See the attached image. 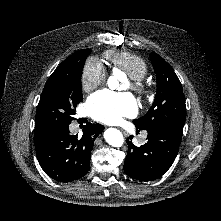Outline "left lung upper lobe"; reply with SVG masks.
Masks as SVG:
<instances>
[{
	"mask_svg": "<svg viewBox=\"0 0 221 221\" xmlns=\"http://www.w3.org/2000/svg\"><path fill=\"white\" fill-rule=\"evenodd\" d=\"M150 59L156 73L157 93L149 111L133 123L137 129L148 130L163 123H185V96L181 83L172 67L158 54Z\"/></svg>",
	"mask_w": 221,
	"mask_h": 221,
	"instance_id": "left-lung-upper-lobe-1",
	"label": "left lung upper lobe"
}]
</instances>
